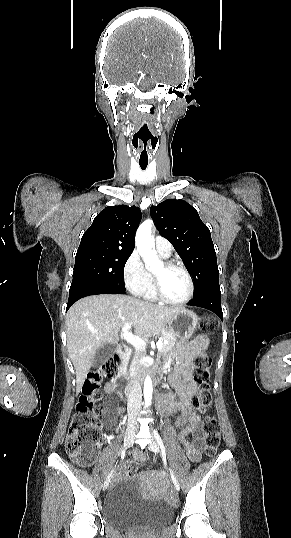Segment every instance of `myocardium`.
<instances>
[{"instance_id":"1","label":"myocardium","mask_w":291,"mask_h":538,"mask_svg":"<svg viewBox=\"0 0 291 538\" xmlns=\"http://www.w3.org/2000/svg\"><path fill=\"white\" fill-rule=\"evenodd\" d=\"M162 265H163L164 269H166V270L178 269V270H180V271H182L184 273V275L186 276L187 281H188V292H187L186 296L181 300H171V299H169L168 297H166V295L163 292L160 277L153 273L152 274V282H153V290H154V293H155L156 297L159 300H161L162 302L170 304V305H183V304L189 302L191 300L193 294H194V282H193V278H192L190 272L183 265H181L179 263L166 261Z\"/></svg>"}]
</instances>
